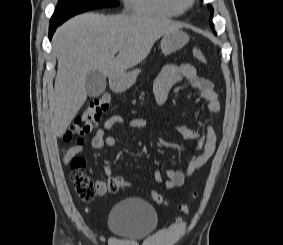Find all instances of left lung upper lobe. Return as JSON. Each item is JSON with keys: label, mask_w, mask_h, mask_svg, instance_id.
<instances>
[{"label": "left lung upper lobe", "mask_w": 283, "mask_h": 245, "mask_svg": "<svg viewBox=\"0 0 283 245\" xmlns=\"http://www.w3.org/2000/svg\"><path fill=\"white\" fill-rule=\"evenodd\" d=\"M208 7H209V9H210V12L213 13V8H212L210 5H208ZM209 22H210L211 27H212L213 30H214V24L212 23V17H210Z\"/></svg>", "instance_id": "obj_1"}]
</instances>
